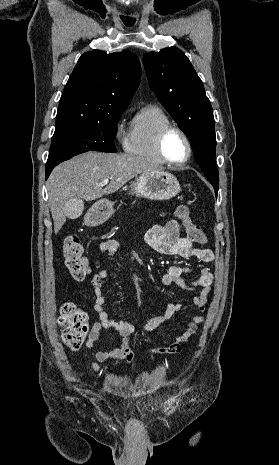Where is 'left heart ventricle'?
<instances>
[{
	"mask_svg": "<svg viewBox=\"0 0 279 465\" xmlns=\"http://www.w3.org/2000/svg\"><path fill=\"white\" fill-rule=\"evenodd\" d=\"M164 151L166 156L174 162L182 161L186 157L187 145L180 133L172 131L167 135Z\"/></svg>",
	"mask_w": 279,
	"mask_h": 465,
	"instance_id": "left-heart-ventricle-1",
	"label": "left heart ventricle"
}]
</instances>
